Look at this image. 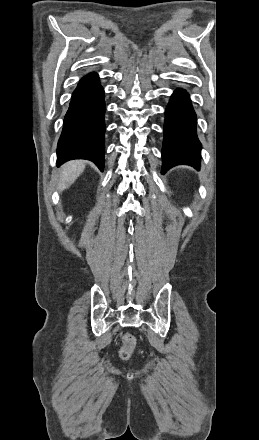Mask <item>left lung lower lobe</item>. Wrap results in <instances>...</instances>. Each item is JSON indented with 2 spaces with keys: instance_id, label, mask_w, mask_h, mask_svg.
Listing matches in <instances>:
<instances>
[{
  "instance_id": "obj_1",
  "label": "left lung lower lobe",
  "mask_w": 259,
  "mask_h": 440,
  "mask_svg": "<svg viewBox=\"0 0 259 440\" xmlns=\"http://www.w3.org/2000/svg\"><path fill=\"white\" fill-rule=\"evenodd\" d=\"M201 144L196 134V114L189 95L176 90L165 111L162 173L179 164L200 166Z\"/></svg>"
}]
</instances>
